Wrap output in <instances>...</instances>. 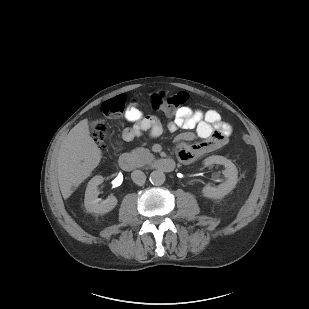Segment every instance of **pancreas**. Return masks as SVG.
<instances>
[{
	"instance_id": "cf45deb5",
	"label": "pancreas",
	"mask_w": 309,
	"mask_h": 309,
	"mask_svg": "<svg viewBox=\"0 0 309 309\" xmlns=\"http://www.w3.org/2000/svg\"><path fill=\"white\" fill-rule=\"evenodd\" d=\"M130 156L137 167H142L154 159V155L148 149L142 147L132 150Z\"/></svg>"
}]
</instances>
